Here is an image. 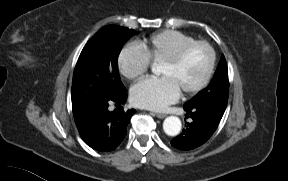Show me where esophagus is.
<instances>
[{
    "label": "esophagus",
    "instance_id": "34e87169",
    "mask_svg": "<svg viewBox=\"0 0 288 181\" xmlns=\"http://www.w3.org/2000/svg\"><path fill=\"white\" fill-rule=\"evenodd\" d=\"M158 118H164V117H166V114L165 113H158V112H156V113H154Z\"/></svg>",
    "mask_w": 288,
    "mask_h": 181
}]
</instances>
